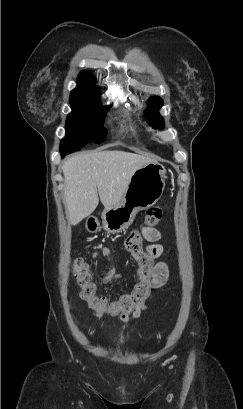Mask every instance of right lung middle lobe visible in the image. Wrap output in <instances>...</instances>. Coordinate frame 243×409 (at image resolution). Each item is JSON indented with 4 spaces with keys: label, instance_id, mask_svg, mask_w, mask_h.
Instances as JSON below:
<instances>
[{
    "label": "right lung middle lobe",
    "instance_id": "right-lung-middle-lobe-1",
    "mask_svg": "<svg viewBox=\"0 0 243 409\" xmlns=\"http://www.w3.org/2000/svg\"><path fill=\"white\" fill-rule=\"evenodd\" d=\"M70 105L72 112L67 116L66 137L60 144L62 157L80 150L94 139H101L107 132L103 124L109 107H104L100 101H70Z\"/></svg>",
    "mask_w": 243,
    "mask_h": 409
}]
</instances>
